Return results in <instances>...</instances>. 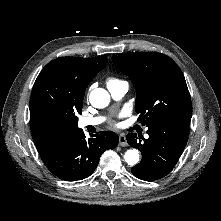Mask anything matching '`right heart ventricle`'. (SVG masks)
Wrapping results in <instances>:
<instances>
[{
  "mask_svg": "<svg viewBox=\"0 0 221 221\" xmlns=\"http://www.w3.org/2000/svg\"><path fill=\"white\" fill-rule=\"evenodd\" d=\"M118 82H120V80L115 79V78H110V79H108V81H107V85L116 84V83H118Z\"/></svg>",
  "mask_w": 221,
  "mask_h": 221,
  "instance_id": "e07e8e85",
  "label": "right heart ventricle"
}]
</instances>
